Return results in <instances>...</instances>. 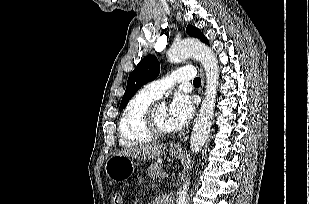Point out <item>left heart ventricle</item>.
<instances>
[{
	"label": "left heart ventricle",
	"instance_id": "b2bd125f",
	"mask_svg": "<svg viewBox=\"0 0 309 204\" xmlns=\"http://www.w3.org/2000/svg\"><path fill=\"white\" fill-rule=\"evenodd\" d=\"M157 123L161 129L173 131L169 118V107L166 104H161L157 109Z\"/></svg>",
	"mask_w": 309,
	"mask_h": 204
}]
</instances>
